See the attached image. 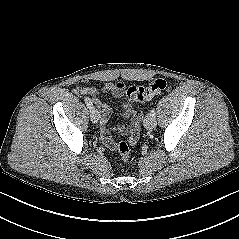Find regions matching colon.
Listing matches in <instances>:
<instances>
[{
  "label": "colon",
  "mask_w": 239,
  "mask_h": 239,
  "mask_svg": "<svg viewBox=\"0 0 239 239\" xmlns=\"http://www.w3.org/2000/svg\"><path fill=\"white\" fill-rule=\"evenodd\" d=\"M167 87V81L163 78L153 80L146 86H130L126 91V98L130 102H143L151 100L156 95L160 94ZM135 133H139L140 116L138 115L136 120ZM116 149L120 159L123 162H128L130 159V148L124 141L117 143Z\"/></svg>",
  "instance_id": "colon-1"
}]
</instances>
